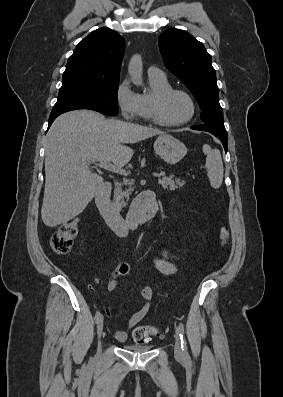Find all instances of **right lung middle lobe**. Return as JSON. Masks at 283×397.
<instances>
[{
	"label": "right lung middle lobe",
	"instance_id": "1",
	"mask_svg": "<svg viewBox=\"0 0 283 397\" xmlns=\"http://www.w3.org/2000/svg\"><path fill=\"white\" fill-rule=\"evenodd\" d=\"M119 78H101L78 73L63 74L54 107L83 106L106 115L118 114Z\"/></svg>",
	"mask_w": 283,
	"mask_h": 397
}]
</instances>
